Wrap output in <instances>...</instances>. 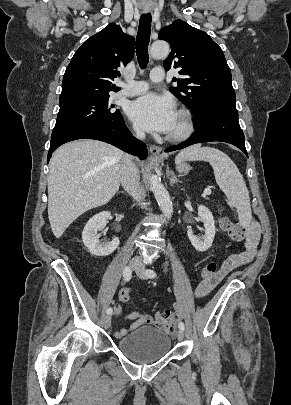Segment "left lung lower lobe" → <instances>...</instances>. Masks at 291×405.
<instances>
[{
	"instance_id": "0a47b994",
	"label": "left lung lower lobe",
	"mask_w": 291,
	"mask_h": 405,
	"mask_svg": "<svg viewBox=\"0 0 291 405\" xmlns=\"http://www.w3.org/2000/svg\"><path fill=\"white\" fill-rule=\"evenodd\" d=\"M195 128L197 132L179 145L167 148L165 152L183 149L196 143L222 141L242 150L248 157L245 148V137L238 122V111L235 105H217L212 107L206 119Z\"/></svg>"
}]
</instances>
